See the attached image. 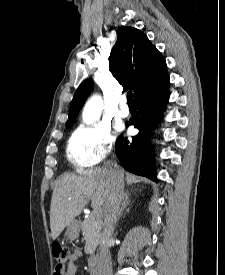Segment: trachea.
Instances as JSON below:
<instances>
[{"instance_id": "trachea-1", "label": "trachea", "mask_w": 225, "mask_h": 275, "mask_svg": "<svg viewBox=\"0 0 225 275\" xmlns=\"http://www.w3.org/2000/svg\"><path fill=\"white\" fill-rule=\"evenodd\" d=\"M127 103H128L129 105H133V96H132V92H131V91H129V92L127 93Z\"/></svg>"}]
</instances>
